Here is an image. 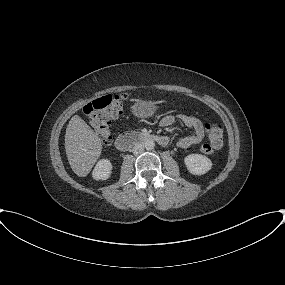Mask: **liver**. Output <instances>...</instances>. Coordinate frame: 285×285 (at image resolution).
<instances>
[{
  "label": "liver",
  "instance_id": "1",
  "mask_svg": "<svg viewBox=\"0 0 285 285\" xmlns=\"http://www.w3.org/2000/svg\"><path fill=\"white\" fill-rule=\"evenodd\" d=\"M65 150L73 172L85 177L102 151L99 136L78 115H74L66 128Z\"/></svg>",
  "mask_w": 285,
  "mask_h": 285
}]
</instances>
